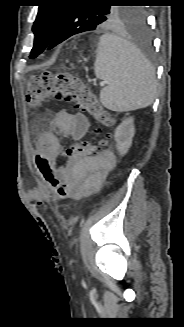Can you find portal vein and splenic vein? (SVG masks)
I'll list each match as a JSON object with an SVG mask.
<instances>
[{
    "instance_id": "18ae733b",
    "label": "portal vein and splenic vein",
    "mask_w": 184,
    "mask_h": 327,
    "mask_svg": "<svg viewBox=\"0 0 184 327\" xmlns=\"http://www.w3.org/2000/svg\"><path fill=\"white\" fill-rule=\"evenodd\" d=\"M104 85H105V82H101V83H100V86H104Z\"/></svg>"
}]
</instances>
